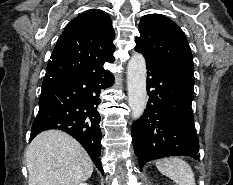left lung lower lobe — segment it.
Segmentation results:
<instances>
[{
  "label": "left lung lower lobe",
  "instance_id": "0a47b994",
  "mask_svg": "<svg viewBox=\"0 0 233 185\" xmlns=\"http://www.w3.org/2000/svg\"><path fill=\"white\" fill-rule=\"evenodd\" d=\"M146 63L149 100L144 114L131 127L140 168L166 156L186 155L199 160L191 108L193 72Z\"/></svg>",
  "mask_w": 233,
  "mask_h": 185
}]
</instances>
